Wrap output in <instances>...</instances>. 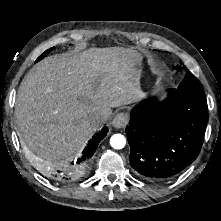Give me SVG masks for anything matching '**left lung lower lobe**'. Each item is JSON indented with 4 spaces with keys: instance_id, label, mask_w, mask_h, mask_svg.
I'll list each match as a JSON object with an SVG mask.
<instances>
[{
    "instance_id": "0a47b994",
    "label": "left lung lower lobe",
    "mask_w": 221,
    "mask_h": 221,
    "mask_svg": "<svg viewBox=\"0 0 221 221\" xmlns=\"http://www.w3.org/2000/svg\"><path fill=\"white\" fill-rule=\"evenodd\" d=\"M163 102L143 100L126 127L135 174L149 181L174 178L198 156L208 121L205 97L170 89Z\"/></svg>"
}]
</instances>
